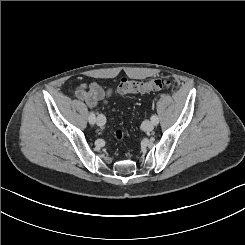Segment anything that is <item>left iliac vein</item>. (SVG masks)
Here are the masks:
<instances>
[{
    "mask_svg": "<svg viewBox=\"0 0 245 245\" xmlns=\"http://www.w3.org/2000/svg\"><path fill=\"white\" fill-rule=\"evenodd\" d=\"M154 123L152 121H149V120H146L143 124H142V127H143V130L146 131V132H150L154 129Z\"/></svg>",
    "mask_w": 245,
    "mask_h": 245,
    "instance_id": "obj_1",
    "label": "left iliac vein"
}]
</instances>
